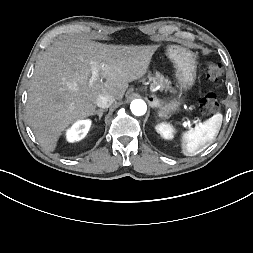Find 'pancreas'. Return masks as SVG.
I'll list each match as a JSON object with an SVG mask.
<instances>
[{
  "label": "pancreas",
  "mask_w": 253,
  "mask_h": 253,
  "mask_svg": "<svg viewBox=\"0 0 253 253\" xmlns=\"http://www.w3.org/2000/svg\"><path fill=\"white\" fill-rule=\"evenodd\" d=\"M148 78L151 82V88L160 87L161 89H171V82L159 72H155L153 75L149 73Z\"/></svg>",
  "instance_id": "cf45deb5"
}]
</instances>
